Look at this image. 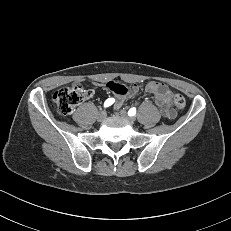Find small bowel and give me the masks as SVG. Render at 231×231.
Returning <instances> with one entry per match:
<instances>
[{
    "label": "small bowel",
    "instance_id": "1",
    "mask_svg": "<svg viewBox=\"0 0 231 231\" xmlns=\"http://www.w3.org/2000/svg\"><path fill=\"white\" fill-rule=\"evenodd\" d=\"M109 90L114 92L119 97L118 105H120L124 96L128 93L127 87L124 85H120L114 82H110L108 85ZM137 87H133V91H136ZM146 91L153 94L155 98V102L160 109L161 114L168 118L173 119L176 116L175 110L171 107L170 100L172 96V92L170 89L159 82L149 81L146 84ZM93 92L89 91L88 96H92Z\"/></svg>",
    "mask_w": 231,
    "mask_h": 231
}]
</instances>
